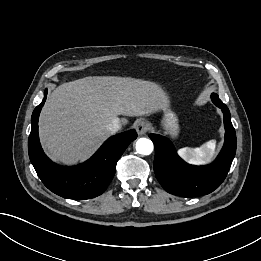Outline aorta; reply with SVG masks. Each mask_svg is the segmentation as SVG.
Returning a JSON list of instances; mask_svg holds the SVG:
<instances>
[{
    "mask_svg": "<svg viewBox=\"0 0 261 261\" xmlns=\"http://www.w3.org/2000/svg\"><path fill=\"white\" fill-rule=\"evenodd\" d=\"M153 149L152 141L147 138H140L136 142V151L141 155H150Z\"/></svg>",
    "mask_w": 261,
    "mask_h": 261,
    "instance_id": "1",
    "label": "aorta"
}]
</instances>
